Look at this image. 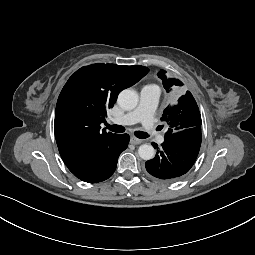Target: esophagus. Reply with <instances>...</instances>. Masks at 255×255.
<instances>
[{
    "mask_svg": "<svg viewBox=\"0 0 255 255\" xmlns=\"http://www.w3.org/2000/svg\"><path fill=\"white\" fill-rule=\"evenodd\" d=\"M130 142H131L132 144L137 145V144H141V143H142V140H141V139H138V138H136V137H134V136H132V137L130 138Z\"/></svg>",
    "mask_w": 255,
    "mask_h": 255,
    "instance_id": "34e87169",
    "label": "esophagus"
}]
</instances>
